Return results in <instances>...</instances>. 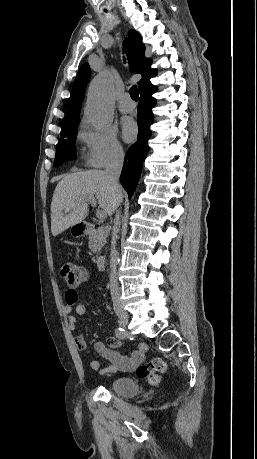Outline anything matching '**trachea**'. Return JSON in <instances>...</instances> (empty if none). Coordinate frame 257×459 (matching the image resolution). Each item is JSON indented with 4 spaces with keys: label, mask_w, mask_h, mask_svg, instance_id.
<instances>
[{
    "label": "trachea",
    "mask_w": 257,
    "mask_h": 459,
    "mask_svg": "<svg viewBox=\"0 0 257 459\" xmlns=\"http://www.w3.org/2000/svg\"><path fill=\"white\" fill-rule=\"evenodd\" d=\"M129 94L131 96V98L134 100V101H138V90H137V86L136 85H133L130 89H129Z\"/></svg>",
    "instance_id": "1"
}]
</instances>
